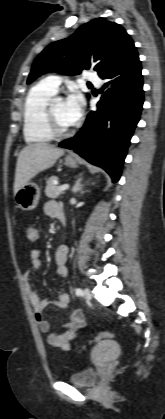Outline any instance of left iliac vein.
<instances>
[{
	"mask_svg": "<svg viewBox=\"0 0 165 419\" xmlns=\"http://www.w3.org/2000/svg\"><path fill=\"white\" fill-rule=\"evenodd\" d=\"M83 298L87 301L91 300L92 294L88 288H85L83 291Z\"/></svg>",
	"mask_w": 165,
	"mask_h": 419,
	"instance_id": "obj_1",
	"label": "left iliac vein"
}]
</instances>
